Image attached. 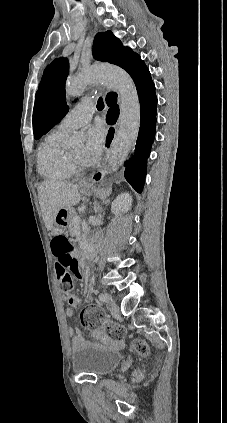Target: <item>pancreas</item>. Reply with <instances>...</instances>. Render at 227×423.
Returning <instances> with one entry per match:
<instances>
[{
	"instance_id": "cf45deb5",
	"label": "pancreas",
	"mask_w": 227,
	"mask_h": 423,
	"mask_svg": "<svg viewBox=\"0 0 227 423\" xmlns=\"http://www.w3.org/2000/svg\"><path fill=\"white\" fill-rule=\"evenodd\" d=\"M75 215H77L76 211L74 210L73 213V217H75ZM73 217H71L70 221H69V233L70 235H76V233H78V231H80V225L79 223H77V221H73Z\"/></svg>"
}]
</instances>
